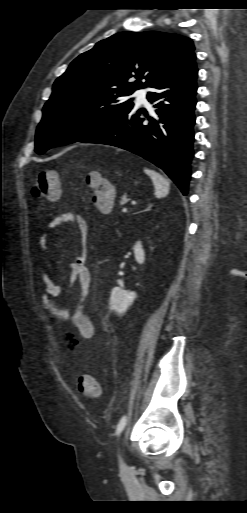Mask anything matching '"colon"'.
<instances>
[{"instance_id": "colon-1", "label": "colon", "mask_w": 247, "mask_h": 513, "mask_svg": "<svg viewBox=\"0 0 247 513\" xmlns=\"http://www.w3.org/2000/svg\"><path fill=\"white\" fill-rule=\"evenodd\" d=\"M88 193L93 196V201L101 211L112 207L115 200L114 188L106 182L101 175L95 173L88 178ZM32 195L39 199L56 201L61 195V180L54 170L41 171L31 188ZM78 390L88 397H97L101 392L98 381L89 375H80L76 378Z\"/></svg>"}]
</instances>
